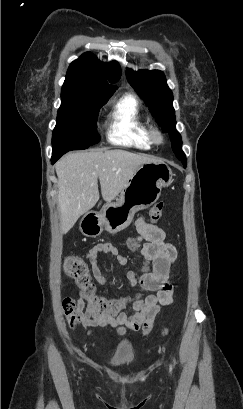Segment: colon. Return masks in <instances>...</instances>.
I'll list each match as a JSON object with an SVG mask.
<instances>
[{
  "label": "colon",
  "mask_w": 243,
  "mask_h": 409,
  "mask_svg": "<svg viewBox=\"0 0 243 409\" xmlns=\"http://www.w3.org/2000/svg\"><path fill=\"white\" fill-rule=\"evenodd\" d=\"M164 204L158 202L154 204L149 212V217L152 222H156L162 215ZM139 240L131 238L128 242V248L135 252L139 248ZM63 270L65 274L73 278L78 286L81 288V296L88 302L89 307L99 309L105 312L118 313L126 307V300L124 299H108L106 297L97 296L95 293V286L91 281L90 270L87 264L80 258L68 256L64 259ZM140 295L136 296L139 299ZM63 309L67 317L68 323L74 326L81 318V313L77 308L75 301L66 297L63 300ZM170 329L164 327L159 337H165L169 334Z\"/></svg>",
  "instance_id": "5ec220e1"
}]
</instances>
